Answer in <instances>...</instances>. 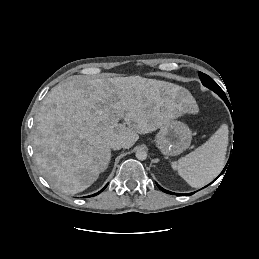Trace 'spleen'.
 Wrapping results in <instances>:
<instances>
[{"label": "spleen", "mask_w": 259, "mask_h": 259, "mask_svg": "<svg viewBox=\"0 0 259 259\" xmlns=\"http://www.w3.org/2000/svg\"><path fill=\"white\" fill-rule=\"evenodd\" d=\"M227 146L228 126L222 124L208 141L171 166L190 186L201 187L221 172Z\"/></svg>", "instance_id": "1"}]
</instances>
